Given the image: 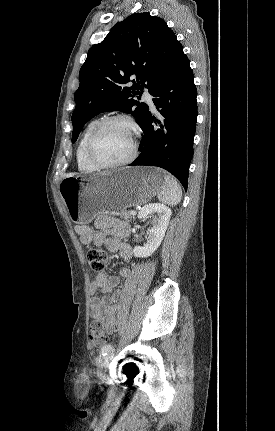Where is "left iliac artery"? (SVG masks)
<instances>
[{
	"label": "left iliac artery",
	"instance_id": "obj_1",
	"mask_svg": "<svg viewBox=\"0 0 275 431\" xmlns=\"http://www.w3.org/2000/svg\"><path fill=\"white\" fill-rule=\"evenodd\" d=\"M111 351H113V346L111 344H107L101 349V355L106 356Z\"/></svg>",
	"mask_w": 275,
	"mask_h": 431
}]
</instances>
